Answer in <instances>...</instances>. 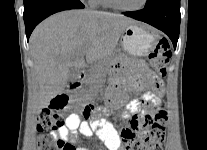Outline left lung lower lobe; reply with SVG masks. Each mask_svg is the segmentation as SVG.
<instances>
[{
	"instance_id": "obj_1",
	"label": "left lung lower lobe",
	"mask_w": 207,
	"mask_h": 150,
	"mask_svg": "<svg viewBox=\"0 0 207 150\" xmlns=\"http://www.w3.org/2000/svg\"><path fill=\"white\" fill-rule=\"evenodd\" d=\"M124 14L162 30L176 48L181 20L180 0H159L150 6H145L142 10Z\"/></svg>"
}]
</instances>
